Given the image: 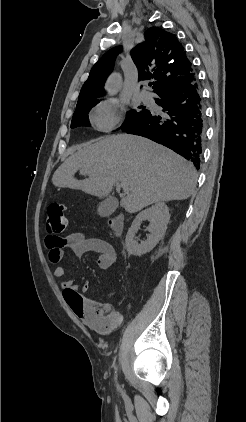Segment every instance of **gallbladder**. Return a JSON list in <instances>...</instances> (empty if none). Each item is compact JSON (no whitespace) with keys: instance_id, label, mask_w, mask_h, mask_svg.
<instances>
[{"instance_id":"obj_1","label":"gallbladder","mask_w":246,"mask_h":422,"mask_svg":"<svg viewBox=\"0 0 246 422\" xmlns=\"http://www.w3.org/2000/svg\"><path fill=\"white\" fill-rule=\"evenodd\" d=\"M118 207V200L115 197L109 196L106 197L98 206V214L102 217H108Z\"/></svg>"}]
</instances>
